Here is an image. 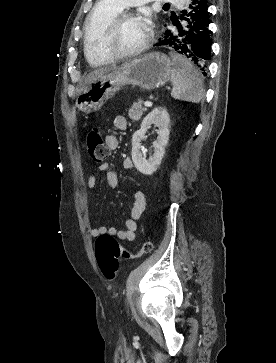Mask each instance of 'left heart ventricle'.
Segmentation results:
<instances>
[{
	"instance_id": "b2bd125f",
	"label": "left heart ventricle",
	"mask_w": 276,
	"mask_h": 363,
	"mask_svg": "<svg viewBox=\"0 0 276 363\" xmlns=\"http://www.w3.org/2000/svg\"><path fill=\"white\" fill-rule=\"evenodd\" d=\"M143 18L138 16L126 19L120 26L113 40V46L118 50H132L138 47L147 37Z\"/></svg>"
}]
</instances>
